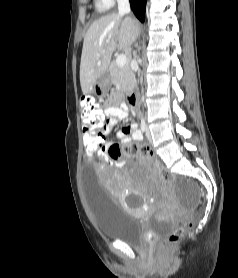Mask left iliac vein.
<instances>
[{
  "label": "left iliac vein",
  "mask_w": 238,
  "mask_h": 278,
  "mask_svg": "<svg viewBox=\"0 0 238 278\" xmlns=\"http://www.w3.org/2000/svg\"><path fill=\"white\" fill-rule=\"evenodd\" d=\"M146 137L149 141H151V134H150V130L148 127L146 128Z\"/></svg>",
  "instance_id": "1"
}]
</instances>
